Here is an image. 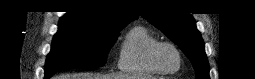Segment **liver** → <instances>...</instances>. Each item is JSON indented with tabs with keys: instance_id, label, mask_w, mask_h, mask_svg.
I'll use <instances>...</instances> for the list:
<instances>
[{
	"instance_id": "1",
	"label": "liver",
	"mask_w": 255,
	"mask_h": 79,
	"mask_svg": "<svg viewBox=\"0 0 255 79\" xmlns=\"http://www.w3.org/2000/svg\"><path fill=\"white\" fill-rule=\"evenodd\" d=\"M55 79H153L149 76H127L121 74L79 73L57 76Z\"/></svg>"
}]
</instances>
